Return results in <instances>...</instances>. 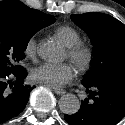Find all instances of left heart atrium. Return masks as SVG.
Segmentation results:
<instances>
[{"mask_svg": "<svg viewBox=\"0 0 125 125\" xmlns=\"http://www.w3.org/2000/svg\"><path fill=\"white\" fill-rule=\"evenodd\" d=\"M75 76V68L69 63H43L35 67L31 77L35 82L58 88L69 83Z\"/></svg>", "mask_w": 125, "mask_h": 125, "instance_id": "1", "label": "left heart atrium"}]
</instances>
